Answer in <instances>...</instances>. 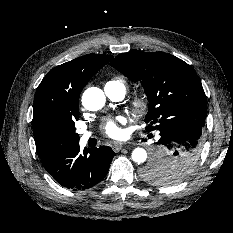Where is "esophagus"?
Returning <instances> with one entry per match:
<instances>
[{"instance_id": "esophagus-1", "label": "esophagus", "mask_w": 233, "mask_h": 233, "mask_svg": "<svg viewBox=\"0 0 233 233\" xmlns=\"http://www.w3.org/2000/svg\"><path fill=\"white\" fill-rule=\"evenodd\" d=\"M123 146H124L123 143L116 142V143L113 144L112 149H113L115 152H118V151H120V150L123 148Z\"/></svg>"}]
</instances>
